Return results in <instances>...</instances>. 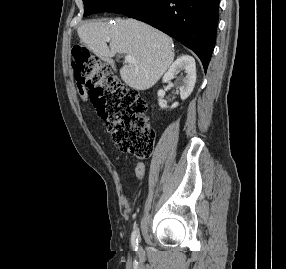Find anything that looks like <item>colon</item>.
Masks as SVG:
<instances>
[{
  "mask_svg": "<svg viewBox=\"0 0 286 269\" xmlns=\"http://www.w3.org/2000/svg\"><path fill=\"white\" fill-rule=\"evenodd\" d=\"M71 54L75 79L78 85L88 90L113 141L123 152L142 160L148 158L155 132L145 117L146 101L138 91L115 78L108 66L82 43H75Z\"/></svg>",
  "mask_w": 286,
  "mask_h": 269,
  "instance_id": "5ec220e1",
  "label": "colon"
}]
</instances>
